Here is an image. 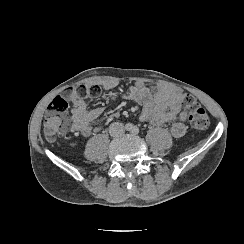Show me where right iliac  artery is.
Masks as SVG:
<instances>
[{"instance_id":"1","label":"right iliac artery","mask_w":244,"mask_h":244,"mask_svg":"<svg viewBox=\"0 0 244 244\" xmlns=\"http://www.w3.org/2000/svg\"><path fill=\"white\" fill-rule=\"evenodd\" d=\"M126 129H127V130L132 129V125H131V124H127V125H126Z\"/></svg>"}]
</instances>
